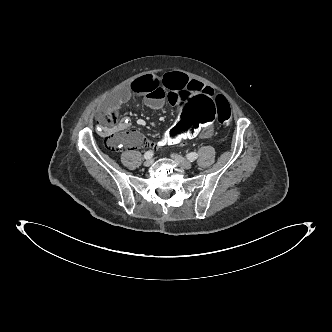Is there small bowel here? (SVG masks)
<instances>
[{
  "label": "small bowel",
  "mask_w": 332,
  "mask_h": 332,
  "mask_svg": "<svg viewBox=\"0 0 332 332\" xmlns=\"http://www.w3.org/2000/svg\"><path fill=\"white\" fill-rule=\"evenodd\" d=\"M132 93H137L140 97L145 98V104L153 110L162 109L167 100L179 105L187 100L189 96L202 95L210 101H212L214 96L211 88L197 80L190 79L184 73L171 71L160 76L148 74L135 79L129 86L116 92L98 107L96 119L103 132L105 131L103 125L105 113L124 102ZM130 125L131 122L128 118L122 119L117 125L123 145L129 149L137 147L144 142L142 134L130 129ZM213 134L214 128L212 123H210L204 133L193 138L209 139Z\"/></svg>",
  "instance_id": "1"
}]
</instances>
